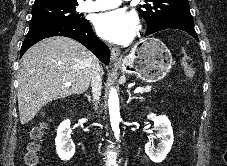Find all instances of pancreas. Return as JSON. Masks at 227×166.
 Instances as JSON below:
<instances>
[{
	"label": "pancreas",
	"instance_id": "pancreas-1",
	"mask_svg": "<svg viewBox=\"0 0 227 166\" xmlns=\"http://www.w3.org/2000/svg\"><path fill=\"white\" fill-rule=\"evenodd\" d=\"M150 91H151V87H145L143 92H150Z\"/></svg>",
	"mask_w": 227,
	"mask_h": 166
}]
</instances>
